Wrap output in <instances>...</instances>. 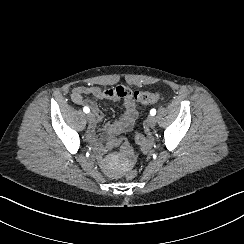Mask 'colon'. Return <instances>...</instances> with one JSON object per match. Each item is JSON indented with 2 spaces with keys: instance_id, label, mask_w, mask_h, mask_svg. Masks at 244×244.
<instances>
[{
  "instance_id": "5ec220e1",
  "label": "colon",
  "mask_w": 244,
  "mask_h": 244,
  "mask_svg": "<svg viewBox=\"0 0 244 244\" xmlns=\"http://www.w3.org/2000/svg\"><path fill=\"white\" fill-rule=\"evenodd\" d=\"M105 95L114 100L131 96L135 101H137L141 105H154L157 104L160 100L159 91L157 90H135L123 85L108 88L105 91ZM132 137L137 141L138 146L141 148L147 149L151 145L150 140L147 139L145 135H143V131L140 128H135L132 131ZM116 144L121 147L122 153H131L132 145L128 142L127 137H118L116 139ZM127 178L130 181L137 180V171H128Z\"/></svg>"
}]
</instances>
